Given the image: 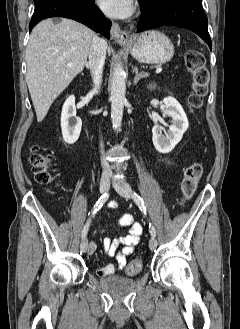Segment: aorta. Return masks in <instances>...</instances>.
Returning a JSON list of instances; mask_svg holds the SVG:
<instances>
[{
  "label": "aorta",
  "instance_id": "aorta-1",
  "mask_svg": "<svg viewBox=\"0 0 240 329\" xmlns=\"http://www.w3.org/2000/svg\"><path fill=\"white\" fill-rule=\"evenodd\" d=\"M126 76L122 64L114 68L111 82V120L114 129H119L122 122L126 102Z\"/></svg>",
  "mask_w": 240,
  "mask_h": 329
}]
</instances>
